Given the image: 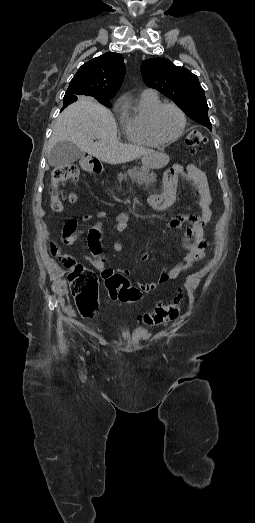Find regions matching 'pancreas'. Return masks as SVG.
<instances>
[{
    "instance_id": "cf45deb5",
    "label": "pancreas",
    "mask_w": 255,
    "mask_h": 523,
    "mask_svg": "<svg viewBox=\"0 0 255 523\" xmlns=\"http://www.w3.org/2000/svg\"><path fill=\"white\" fill-rule=\"evenodd\" d=\"M127 176H130L131 182L142 184V186H150L156 182V174H149V170H145V168H133V170H128L127 174H118L119 182H122Z\"/></svg>"
}]
</instances>
